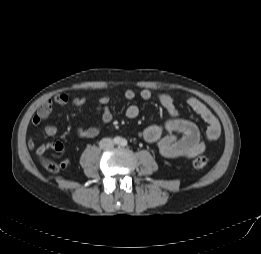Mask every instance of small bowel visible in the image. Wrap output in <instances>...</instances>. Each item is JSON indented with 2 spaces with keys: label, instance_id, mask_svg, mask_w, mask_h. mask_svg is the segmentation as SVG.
Wrapping results in <instances>:
<instances>
[{
  "label": "small bowel",
  "instance_id": "small-bowel-1",
  "mask_svg": "<svg viewBox=\"0 0 261 254\" xmlns=\"http://www.w3.org/2000/svg\"><path fill=\"white\" fill-rule=\"evenodd\" d=\"M136 93L132 89L124 92L126 100H133ZM140 96L144 100L152 97V92L149 89H143ZM87 101V97H70L66 94L56 95L53 99L47 100L37 110L32 118L34 126L44 123L52 113L54 105L72 104L74 106H81ZM159 103L165 108L167 112V119L158 125H151L144 128L140 132V136L148 143H155L158 152L166 158H192L202 154L207 144L217 141L221 135V125L217 117L208 109V107L200 100L194 97L186 99V105L195 114H197L207 125L204 138L201 137L198 126L187 119L181 117L174 100L167 94L158 95ZM110 97L102 95L98 98L95 113L101 116L104 124H108L112 120V113L109 107ZM140 113L137 105H129L126 109V116L134 119ZM101 128L94 126L90 128H83L77 126L76 134L82 137L92 138L99 134ZM44 132L48 136H54L57 133V127L53 124H46ZM30 149L34 150L36 154H42L47 148H53L59 153H65L64 146L61 143H49L41 147L35 148L33 140L28 141ZM68 160L62 163V168H66Z\"/></svg>",
  "mask_w": 261,
  "mask_h": 254
}]
</instances>
